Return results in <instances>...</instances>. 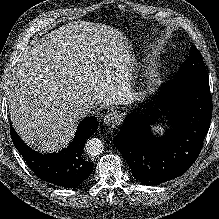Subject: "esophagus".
I'll use <instances>...</instances> for the list:
<instances>
[{"instance_id": "esophagus-1", "label": "esophagus", "mask_w": 219, "mask_h": 219, "mask_svg": "<svg viewBox=\"0 0 219 219\" xmlns=\"http://www.w3.org/2000/svg\"><path fill=\"white\" fill-rule=\"evenodd\" d=\"M103 123L107 126L115 127L121 123V118L117 113L109 112L104 116Z\"/></svg>"}]
</instances>
